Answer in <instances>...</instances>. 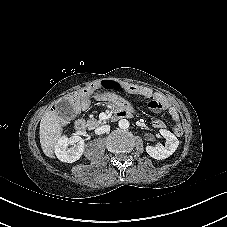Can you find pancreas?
<instances>
[{
  "mask_svg": "<svg viewBox=\"0 0 227 227\" xmlns=\"http://www.w3.org/2000/svg\"><path fill=\"white\" fill-rule=\"evenodd\" d=\"M94 126H96V125H94V124L91 125L92 128H93Z\"/></svg>",
  "mask_w": 227,
  "mask_h": 227,
  "instance_id": "1",
  "label": "pancreas"
}]
</instances>
